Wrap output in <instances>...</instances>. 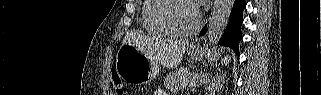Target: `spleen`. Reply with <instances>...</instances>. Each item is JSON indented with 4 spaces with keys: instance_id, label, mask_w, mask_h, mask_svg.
<instances>
[{
    "instance_id": "obj_1",
    "label": "spleen",
    "mask_w": 321,
    "mask_h": 95,
    "mask_svg": "<svg viewBox=\"0 0 321 95\" xmlns=\"http://www.w3.org/2000/svg\"><path fill=\"white\" fill-rule=\"evenodd\" d=\"M222 63H224L225 65H227L229 63V58L228 56L225 57L223 60H222Z\"/></svg>"
}]
</instances>
